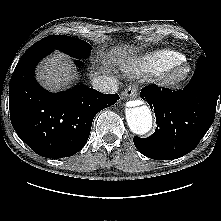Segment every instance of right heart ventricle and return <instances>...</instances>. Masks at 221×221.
I'll return each mask as SVG.
<instances>
[{
  "label": "right heart ventricle",
  "mask_w": 221,
  "mask_h": 221,
  "mask_svg": "<svg viewBox=\"0 0 221 221\" xmlns=\"http://www.w3.org/2000/svg\"><path fill=\"white\" fill-rule=\"evenodd\" d=\"M185 57L181 53L174 50H158L146 54L142 58L130 59L124 66V70L135 76H141L149 72L167 71L182 62Z\"/></svg>",
  "instance_id": "1"
}]
</instances>
